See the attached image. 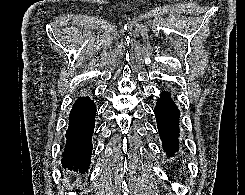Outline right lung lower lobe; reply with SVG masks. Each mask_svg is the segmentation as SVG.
Listing matches in <instances>:
<instances>
[{"instance_id": "98d812e1", "label": "right lung lower lobe", "mask_w": 245, "mask_h": 195, "mask_svg": "<svg viewBox=\"0 0 245 195\" xmlns=\"http://www.w3.org/2000/svg\"><path fill=\"white\" fill-rule=\"evenodd\" d=\"M95 116V103L89 97L78 98L69 114L66 145L61 160L64 167L87 172L91 159Z\"/></svg>"}]
</instances>
